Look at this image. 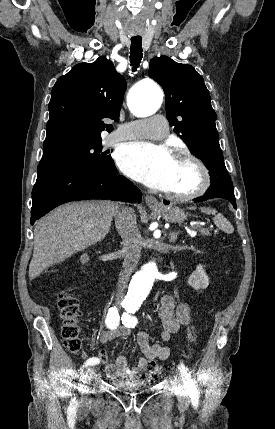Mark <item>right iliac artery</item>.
Listing matches in <instances>:
<instances>
[{
    "label": "right iliac artery",
    "instance_id": "obj_1",
    "mask_svg": "<svg viewBox=\"0 0 275 429\" xmlns=\"http://www.w3.org/2000/svg\"><path fill=\"white\" fill-rule=\"evenodd\" d=\"M106 326L109 329H116L119 326L120 316L118 313V309L116 307H112L109 309L107 317H106ZM99 363V359L97 357H91L85 362V367L88 365H96ZM71 405L76 406V400L73 399Z\"/></svg>",
    "mask_w": 275,
    "mask_h": 429
}]
</instances>
